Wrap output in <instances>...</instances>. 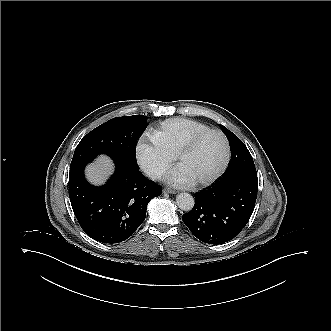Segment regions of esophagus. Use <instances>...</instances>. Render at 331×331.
I'll list each match as a JSON object with an SVG mask.
<instances>
[{
	"mask_svg": "<svg viewBox=\"0 0 331 331\" xmlns=\"http://www.w3.org/2000/svg\"><path fill=\"white\" fill-rule=\"evenodd\" d=\"M163 193L175 194V193H177V191L173 190V189H170V188H164Z\"/></svg>",
	"mask_w": 331,
	"mask_h": 331,
	"instance_id": "1",
	"label": "esophagus"
}]
</instances>
